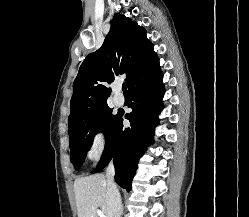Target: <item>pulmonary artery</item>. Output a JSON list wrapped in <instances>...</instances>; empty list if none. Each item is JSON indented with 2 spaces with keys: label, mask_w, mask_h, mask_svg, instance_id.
<instances>
[{
  "label": "pulmonary artery",
  "mask_w": 249,
  "mask_h": 217,
  "mask_svg": "<svg viewBox=\"0 0 249 217\" xmlns=\"http://www.w3.org/2000/svg\"><path fill=\"white\" fill-rule=\"evenodd\" d=\"M114 103L117 106H122L124 104V98L122 96L117 95L114 97Z\"/></svg>",
  "instance_id": "1"
}]
</instances>
